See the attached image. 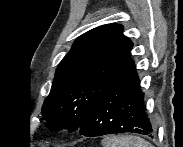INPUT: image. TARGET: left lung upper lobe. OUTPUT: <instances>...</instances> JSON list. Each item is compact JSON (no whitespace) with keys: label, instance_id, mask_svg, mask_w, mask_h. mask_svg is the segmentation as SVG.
Returning a JSON list of instances; mask_svg holds the SVG:
<instances>
[{"label":"left lung upper lobe","instance_id":"left-lung-upper-lobe-1","mask_svg":"<svg viewBox=\"0 0 183 147\" xmlns=\"http://www.w3.org/2000/svg\"><path fill=\"white\" fill-rule=\"evenodd\" d=\"M118 24L94 28L76 39L59 63L51 92L42 106L52 130H78L100 97L135 64L133 43Z\"/></svg>","mask_w":183,"mask_h":147}]
</instances>
